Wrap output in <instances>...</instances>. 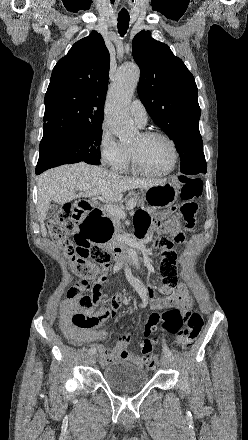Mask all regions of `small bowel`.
I'll use <instances>...</instances> for the list:
<instances>
[{
    "label": "small bowel",
    "mask_w": 248,
    "mask_h": 440,
    "mask_svg": "<svg viewBox=\"0 0 248 440\" xmlns=\"http://www.w3.org/2000/svg\"><path fill=\"white\" fill-rule=\"evenodd\" d=\"M135 228L139 238L143 237L148 232L156 229L159 226V220L147 211H139L135 215ZM155 267L157 275L160 279L161 286L155 291L152 287L157 285L155 280L149 279L146 282L149 289L143 288L139 283L134 282L137 293L141 298V305H149L151 309L163 310L172 307H180L182 310H190L192 300L185 287L181 286L178 281L179 262L175 257H160L155 260ZM103 277L98 282V303L100 308L97 311L91 309L82 310L67 301H65L59 308V325L65 337L73 345L92 344L93 348L98 350L99 361L102 366H107L117 361H128L138 366H143L146 363L144 358H141L128 351V345L131 341V336L125 334L118 339L116 346L113 349H106L99 343L107 337L104 330L98 329L105 321L115 316L118 311V303L112 300L108 305L101 304V284L109 280V272L104 271ZM158 293L163 294L159 296ZM76 312H83L91 320V324L87 327H77L72 323V316Z\"/></svg>",
    "instance_id": "1"
}]
</instances>
